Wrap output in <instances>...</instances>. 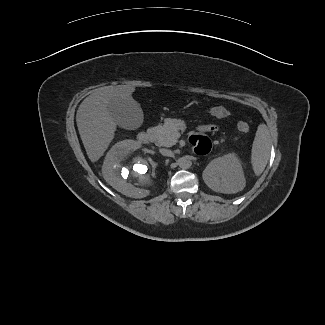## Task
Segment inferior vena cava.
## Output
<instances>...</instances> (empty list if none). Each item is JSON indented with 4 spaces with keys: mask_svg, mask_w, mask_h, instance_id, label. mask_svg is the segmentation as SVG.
<instances>
[{
    "mask_svg": "<svg viewBox=\"0 0 325 325\" xmlns=\"http://www.w3.org/2000/svg\"><path fill=\"white\" fill-rule=\"evenodd\" d=\"M160 153L164 156H168V157H173L174 153L173 151L169 150V149H160Z\"/></svg>",
    "mask_w": 325,
    "mask_h": 325,
    "instance_id": "inferior-vena-cava-1",
    "label": "inferior vena cava"
}]
</instances>
